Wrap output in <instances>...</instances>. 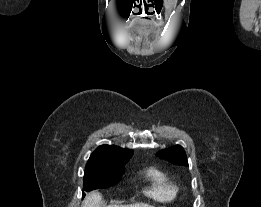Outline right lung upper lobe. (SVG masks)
<instances>
[{"instance_id": "obj_1", "label": "right lung upper lobe", "mask_w": 261, "mask_h": 207, "mask_svg": "<svg viewBox=\"0 0 261 207\" xmlns=\"http://www.w3.org/2000/svg\"><path fill=\"white\" fill-rule=\"evenodd\" d=\"M132 150L123 149L114 145H101L90 156L86 166L111 165L121 159L131 158Z\"/></svg>"}]
</instances>
